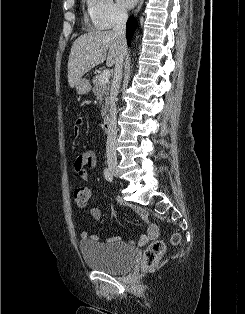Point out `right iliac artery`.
I'll use <instances>...</instances> for the list:
<instances>
[{"instance_id":"1","label":"right iliac artery","mask_w":245,"mask_h":314,"mask_svg":"<svg viewBox=\"0 0 245 314\" xmlns=\"http://www.w3.org/2000/svg\"><path fill=\"white\" fill-rule=\"evenodd\" d=\"M104 177L109 182L113 181V176H112V174L109 172V170L107 168L104 170Z\"/></svg>"}]
</instances>
